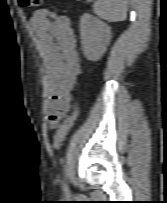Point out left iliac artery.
<instances>
[{
	"label": "left iliac artery",
	"mask_w": 167,
	"mask_h": 203,
	"mask_svg": "<svg viewBox=\"0 0 167 203\" xmlns=\"http://www.w3.org/2000/svg\"><path fill=\"white\" fill-rule=\"evenodd\" d=\"M63 188H64V190H66L67 189V187L65 186V184L63 183Z\"/></svg>",
	"instance_id": "left-iliac-artery-1"
}]
</instances>
